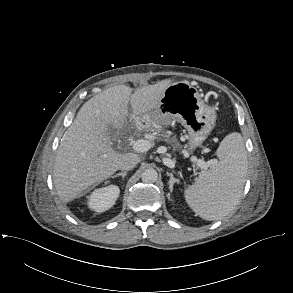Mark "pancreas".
<instances>
[{
	"label": "pancreas",
	"mask_w": 293,
	"mask_h": 293,
	"mask_svg": "<svg viewBox=\"0 0 293 293\" xmlns=\"http://www.w3.org/2000/svg\"><path fill=\"white\" fill-rule=\"evenodd\" d=\"M175 147H179V145L178 144H176V146Z\"/></svg>",
	"instance_id": "cf45deb5"
}]
</instances>
